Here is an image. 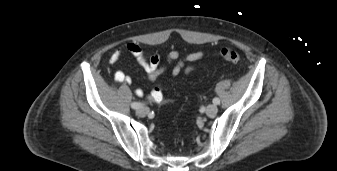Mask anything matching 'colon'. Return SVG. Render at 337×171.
<instances>
[{
    "instance_id": "colon-1",
    "label": "colon",
    "mask_w": 337,
    "mask_h": 171,
    "mask_svg": "<svg viewBox=\"0 0 337 171\" xmlns=\"http://www.w3.org/2000/svg\"><path fill=\"white\" fill-rule=\"evenodd\" d=\"M220 55L225 61L231 63H238L241 59L240 54L236 50L229 48L222 49Z\"/></svg>"
}]
</instances>
